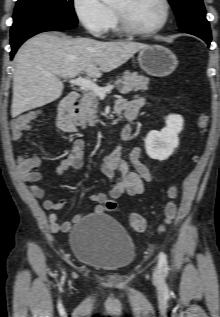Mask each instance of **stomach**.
<instances>
[{"instance_id": "stomach-1", "label": "stomach", "mask_w": 220, "mask_h": 317, "mask_svg": "<svg viewBox=\"0 0 220 317\" xmlns=\"http://www.w3.org/2000/svg\"><path fill=\"white\" fill-rule=\"evenodd\" d=\"M138 62L143 71L155 77L170 75L178 64L175 54L161 45H150L141 49Z\"/></svg>"}]
</instances>
